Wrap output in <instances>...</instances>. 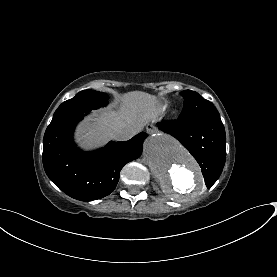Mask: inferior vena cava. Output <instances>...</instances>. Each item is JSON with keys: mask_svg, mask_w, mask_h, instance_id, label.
I'll return each mask as SVG.
<instances>
[{"mask_svg": "<svg viewBox=\"0 0 277 277\" xmlns=\"http://www.w3.org/2000/svg\"><path fill=\"white\" fill-rule=\"evenodd\" d=\"M141 131L140 126H126L118 128L114 131L113 137L118 141H126L134 137L136 134H138Z\"/></svg>", "mask_w": 277, "mask_h": 277, "instance_id": "obj_1", "label": "inferior vena cava"}]
</instances>
